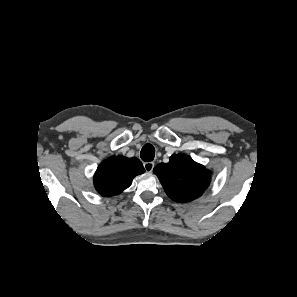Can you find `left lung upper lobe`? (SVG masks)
Returning a JSON list of instances; mask_svg holds the SVG:
<instances>
[{"instance_id": "1", "label": "left lung upper lobe", "mask_w": 297, "mask_h": 297, "mask_svg": "<svg viewBox=\"0 0 297 297\" xmlns=\"http://www.w3.org/2000/svg\"><path fill=\"white\" fill-rule=\"evenodd\" d=\"M153 172L167 195L176 202H188L202 195L210 182V172L184 154L173 155Z\"/></svg>"}]
</instances>
